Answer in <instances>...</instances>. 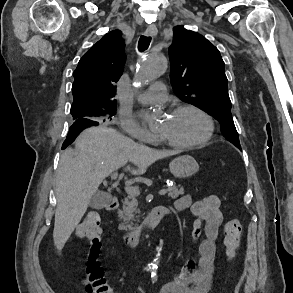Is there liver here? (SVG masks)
Returning <instances> with one entry per match:
<instances>
[{"label":"liver","mask_w":293,"mask_h":293,"mask_svg":"<svg viewBox=\"0 0 293 293\" xmlns=\"http://www.w3.org/2000/svg\"><path fill=\"white\" fill-rule=\"evenodd\" d=\"M178 154L158 151L137 144L112 128L92 127L84 130L61 156L56 177L57 208L53 238L61 250L87 211L91 197L112 172L131 162L143 174L159 159Z\"/></svg>","instance_id":"1"}]
</instances>
